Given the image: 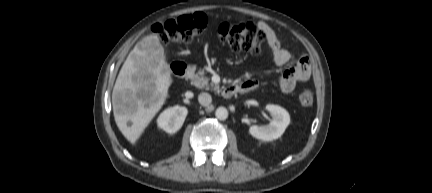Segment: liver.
Returning a JSON list of instances; mask_svg holds the SVG:
<instances>
[{
  "label": "liver",
  "instance_id": "6515ba94",
  "mask_svg": "<svg viewBox=\"0 0 432 193\" xmlns=\"http://www.w3.org/2000/svg\"><path fill=\"white\" fill-rule=\"evenodd\" d=\"M171 84L170 66L159 38L154 34L144 37L129 53L112 93L115 122L131 143L162 108Z\"/></svg>",
  "mask_w": 432,
  "mask_h": 193
}]
</instances>
